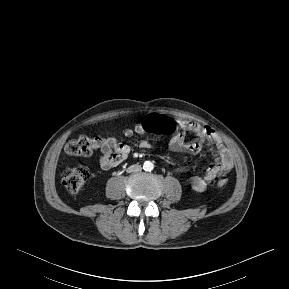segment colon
I'll return each mask as SVG.
<instances>
[{
	"label": "colon",
	"mask_w": 289,
	"mask_h": 289,
	"mask_svg": "<svg viewBox=\"0 0 289 289\" xmlns=\"http://www.w3.org/2000/svg\"><path fill=\"white\" fill-rule=\"evenodd\" d=\"M140 128L146 134H170L175 135L181 129L180 122L171 117H164L160 113H151L140 121ZM103 139L99 137H89L81 135L70 140L65 151L73 156H88L100 149ZM89 178L88 167L84 163L69 169L62 178L65 188L73 194L81 192ZM229 178L223 175L217 182L216 186L222 188L227 185Z\"/></svg>",
	"instance_id": "5ec220e1"
}]
</instances>
